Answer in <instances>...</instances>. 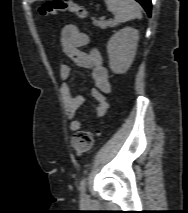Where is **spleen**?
<instances>
[{
    "instance_id": "1",
    "label": "spleen",
    "mask_w": 188,
    "mask_h": 213,
    "mask_svg": "<svg viewBox=\"0 0 188 213\" xmlns=\"http://www.w3.org/2000/svg\"><path fill=\"white\" fill-rule=\"evenodd\" d=\"M105 3L118 22L142 18L141 7L135 0H105Z\"/></svg>"
}]
</instances>
